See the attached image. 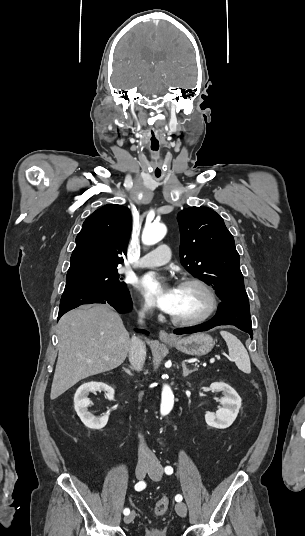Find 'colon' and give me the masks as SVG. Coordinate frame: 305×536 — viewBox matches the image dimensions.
<instances>
[{"mask_svg": "<svg viewBox=\"0 0 305 536\" xmlns=\"http://www.w3.org/2000/svg\"><path fill=\"white\" fill-rule=\"evenodd\" d=\"M168 508H169V500L167 498H161L154 505L153 513L159 517V516L164 515L168 511Z\"/></svg>", "mask_w": 305, "mask_h": 536, "instance_id": "colon-1", "label": "colon"}]
</instances>
